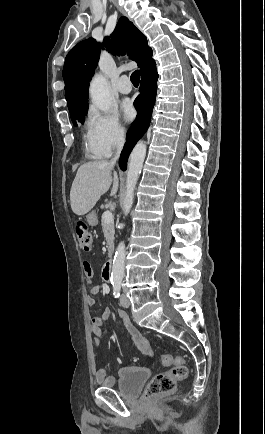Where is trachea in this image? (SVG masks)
<instances>
[{
    "mask_svg": "<svg viewBox=\"0 0 265 434\" xmlns=\"http://www.w3.org/2000/svg\"><path fill=\"white\" fill-rule=\"evenodd\" d=\"M130 79H131V82H132L134 85H139V81H140L139 70H135V72H133V73L131 74Z\"/></svg>",
    "mask_w": 265,
    "mask_h": 434,
    "instance_id": "1",
    "label": "trachea"
}]
</instances>
